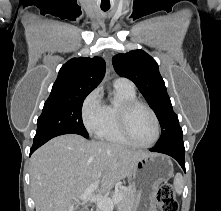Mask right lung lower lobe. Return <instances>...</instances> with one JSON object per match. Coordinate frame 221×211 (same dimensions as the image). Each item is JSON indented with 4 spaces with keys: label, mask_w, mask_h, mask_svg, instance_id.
Masks as SVG:
<instances>
[{
    "label": "right lung lower lobe",
    "mask_w": 221,
    "mask_h": 211,
    "mask_svg": "<svg viewBox=\"0 0 221 211\" xmlns=\"http://www.w3.org/2000/svg\"><path fill=\"white\" fill-rule=\"evenodd\" d=\"M66 134H70V133H66ZM59 135H63V134H54V135H50V136H46V137H42L39 139H34V143L33 146L30 150V155L40 146H42L44 143H46L47 141H49L50 139L59 136Z\"/></svg>",
    "instance_id": "right-lung-lower-lobe-1"
}]
</instances>
